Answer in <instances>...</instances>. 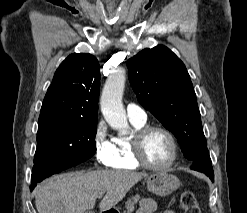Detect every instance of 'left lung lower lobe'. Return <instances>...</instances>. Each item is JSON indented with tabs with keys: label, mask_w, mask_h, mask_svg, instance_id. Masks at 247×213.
Here are the masks:
<instances>
[{
	"label": "left lung lower lobe",
	"mask_w": 247,
	"mask_h": 213,
	"mask_svg": "<svg viewBox=\"0 0 247 213\" xmlns=\"http://www.w3.org/2000/svg\"><path fill=\"white\" fill-rule=\"evenodd\" d=\"M192 160L194 163L191 166V169L205 173L212 181H214V172L207 148H202Z\"/></svg>",
	"instance_id": "obj_1"
}]
</instances>
